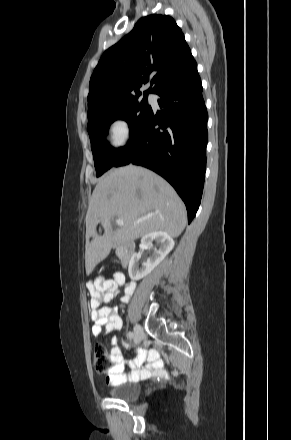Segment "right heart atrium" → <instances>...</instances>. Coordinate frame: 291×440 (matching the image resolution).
Returning a JSON list of instances; mask_svg holds the SVG:
<instances>
[{"label": "right heart atrium", "instance_id": "obj_1", "mask_svg": "<svg viewBox=\"0 0 291 440\" xmlns=\"http://www.w3.org/2000/svg\"><path fill=\"white\" fill-rule=\"evenodd\" d=\"M107 133L111 145L115 148H122L129 138L128 124L124 119H114L110 122Z\"/></svg>", "mask_w": 291, "mask_h": 440}]
</instances>
